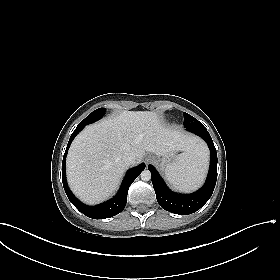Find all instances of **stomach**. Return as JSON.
I'll return each mask as SVG.
<instances>
[{
    "label": "stomach",
    "instance_id": "0dacf381",
    "mask_svg": "<svg viewBox=\"0 0 280 280\" xmlns=\"http://www.w3.org/2000/svg\"><path fill=\"white\" fill-rule=\"evenodd\" d=\"M180 155H176V152H170L166 155L162 156V158H158L156 160V163L160 166L162 170H166V168L172 164L173 162H176L178 160Z\"/></svg>",
    "mask_w": 280,
    "mask_h": 280
}]
</instances>
